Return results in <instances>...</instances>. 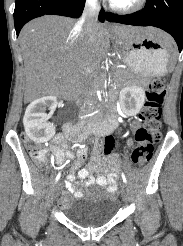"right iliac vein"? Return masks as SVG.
I'll use <instances>...</instances> for the list:
<instances>
[{"label": "right iliac vein", "instance_id": "right-iliac-vein-1", "mask_svg": "<svg viewBox=\"0 0 183 246\" xmlns=\"http://www.w3.org/2000/svg\"><path fill=\"white\" fill-rule=\"evenodd\" d=\"M61 190V183H58L53 190V197L56 199Z\"/></svg>", "mask_w": 183, "mask_h": 246}]
</instances>
